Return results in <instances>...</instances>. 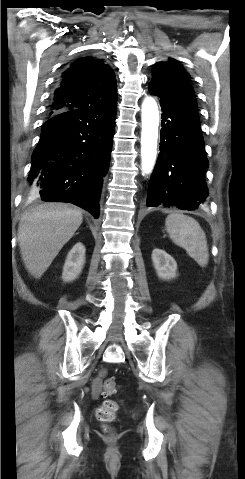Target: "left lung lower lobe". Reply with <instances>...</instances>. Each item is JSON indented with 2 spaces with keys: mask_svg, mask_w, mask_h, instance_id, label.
Wrapping results in <instances>:
<instances>
[{
  "mask_svg": "<svg viewBox=\"0 0 245 479\" xmlns=\"http://www.w3.org/2000/svg\"><path fill=\"white\" fill-rule=\"evenodd\" d=\"M149 92L161 103L160 153L148 186L146 204L194 210L208 196V160L197 103L190 81L151 80Z\"/></svg>",
  "mask_w": 245,
  "mask_h": 479,
  "instance_id": "left-lung-lower-lobe-1",
  "label": "left lung lower lobe"
}]
</instances>
